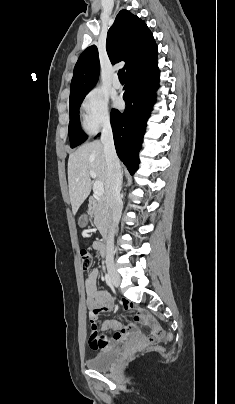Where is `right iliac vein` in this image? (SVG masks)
<instances>
[{
  "label": "right iliac vein",
  "instance_id": "63e3f726",
  "mask_svg": "<svg viewBox=\"0 0 235 404\" xmlns=\"http://www.w3.org/2000/svg\"><path fill=\"white\" fill-rule=\"evenodd\" d=\"M106 265L111 282L115 287H118L120 284V276L117 273L115 264L112 261H107Z\"/></svg>",
  "mask_w": 235,
  "mask_h": 404
}]
</instances>
